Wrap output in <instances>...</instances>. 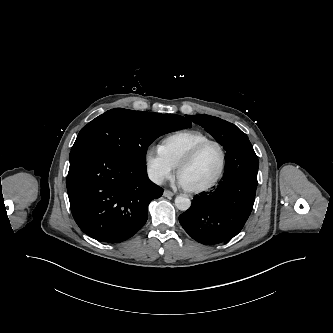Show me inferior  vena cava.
Returning a JSON list of instances; mask_svg holds the SVG:
<instances>
[{
  "instance_id": "obj_1",
  "label": "inferior vena cava",
  "mask_w": 333,
  "mask_h": 333,
  "mask_svg": "<svg viewBox=\"0 0 333 333\" xmlns=\"http://www.w3.org/2000/svg\"><path fill=\"white\" fill-rule=\"evenodd\" d=\"M149 178L152 182H154L155 184L161 185L164 181V178L159 175L158 173L155 172H149Z\"/></svg>"
}]
</instances>
